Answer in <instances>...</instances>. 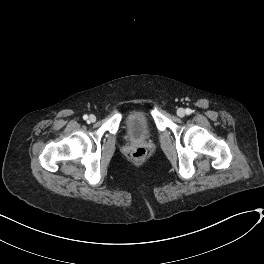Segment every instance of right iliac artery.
Instances as JSON below:
<instances>
[{
  "label": "right iliac artery",
  "mask_w": 264,
  "mask_h": 264,
  "mask_svg": "<svg viewBox=\"0 0 264 264\" xmlns=\"http://www.w3.org/2000/svg\"><path fill=\"white\" fill-rule=\"evenodd\" d=\"M83 119H84V120H87V119H88V116H87V115H84V116H83Z\"/></svg>",
  "instance_id": "obj_1"
}]
</instances>
